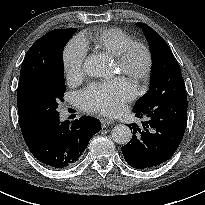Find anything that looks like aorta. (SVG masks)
<instances>
[{"instance_id": "obj_1", "label": "aorta", "mask_w": 205, "mask_h": 205, "mask_svg": "<svg viewBox=\"0 0 205 205\" xmlns=\"http://www.w3.org/2000/svg\"><path fill=\"white\" fill-rule=\"evenodd\" d=\"M84 71L91 77H106L111 73L107 59L100 54H92L87 57L84 61ZM111 135L113 141L118 144H127L132 138L131 130L124 124L116 125L112 129Z\"/></svg>"}]
</instances>
